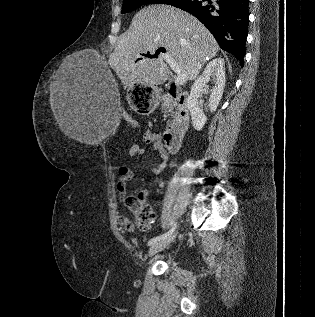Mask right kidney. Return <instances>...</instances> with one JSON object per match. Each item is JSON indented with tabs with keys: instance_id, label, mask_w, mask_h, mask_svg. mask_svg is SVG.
<instances>
[{
	"instance_id": "ca27d5eb",
	"label": "right kidney",
	"mask_w": 315,
	"mask_h": 317,
	"mask_svg": "<svg viewBox=\"0 0 315 317\" xmlns=\"http://www.w3.org/2000/svg\"><path fill=\"white\" fill-rule=\"evenodd\" d=\"M224 65V59L220 57L210 61L206 65L202 75L196 79L191 88L190 96L188 98V109L191 114L192 125L197 131H200L207 121V117L201 108V104L198 102V98L200 94L205 91L207 83L210 81V77L212 76L215 86L211 90L209 100L210 111L214 112L217 109L225 87Z\"/></svg>"
}]
</instances>
